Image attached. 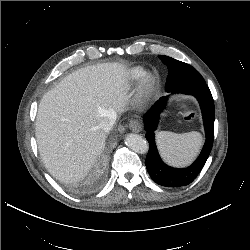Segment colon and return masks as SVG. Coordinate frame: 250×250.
Listing matches in <instances>:
<instances>
[{
  "label": "colon",
  "instance_id": "1",
  "mask_svg": "<svg viewBox=\"0 0 250 250\" xmlns=\"http://www.w3.org/2000/svg\"><path fill=\"white\" fill-rule=\"evenodd\" d=\"M184 117H185L186 120L192 121V120L195 119L196 114H195L194 111L186 109L184 111Z\"/></svg>",
  "mask_w": 250,
  "mask_h": 250
}]
</instances>
